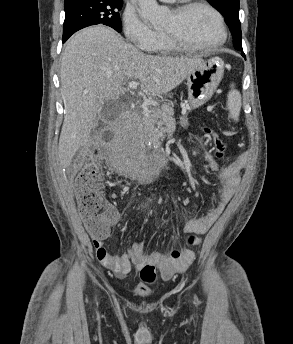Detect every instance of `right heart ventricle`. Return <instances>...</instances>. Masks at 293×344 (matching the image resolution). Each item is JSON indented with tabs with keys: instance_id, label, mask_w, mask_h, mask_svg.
I'll list each match as a JSON object with an SVG mask.
<instances>
[{
	"instance_id": "e07e8e85",
	"label": "right heart ventricle",
	"mask_w": 293,
	"mask_h": 344,
	"mask_svg": "<svg viewBox=\"0 0 293 344\" xmlns=\"http://www.w3.org/2000/svg\"><path fill=\"white\" fill-rule=\"evenodd\" d=\"M180 49L174 46L163 33H160V38L156 45L149 51L151 54L158 56H170L180 53Z\"/></svg>"
}]
</instances>
